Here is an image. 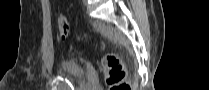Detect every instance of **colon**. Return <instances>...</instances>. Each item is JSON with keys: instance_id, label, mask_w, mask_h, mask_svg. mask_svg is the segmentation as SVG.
I'll list each match as a JSON object with an SVG mask.
<instances>
[{"instance_id": "obj_1", "label": "colon", "mask_w": 209, "mask_h": 90, "mask_svg": "<svg viewBox=\"0 0 209 90\" xmlns=\"http://www.w3.org/2000/svg\"><path fill=\"white\" fill-rule=\"evenodd\" d=\"M57 28L62 39L68 37L70 26L65 16L60 15L58 17ZM102 68L110 90H131V85L126 79L125 64L119 55L107 54L102 60Z\"/></svg>"}]
</instances>
